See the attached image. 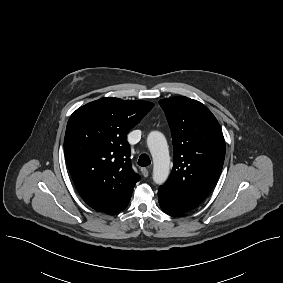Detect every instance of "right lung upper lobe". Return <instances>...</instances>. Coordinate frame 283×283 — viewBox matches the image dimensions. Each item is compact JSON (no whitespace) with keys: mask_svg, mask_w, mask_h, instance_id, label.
<instances>
[{"mask_svg":"<svg viewBox=\"0 0 283 283\" xmlns=\"http://www.w3.org/2000/svg\"><path fill=\"white\" fill-rule=\"evenodd\" d=\"M153 106L141 100L101 98L71 115L65 159L79 194L91 208L115 213L127 207L140 180L131 167L127 133Z\"/></svg>","mask_w":283,"mask_h":283,"instance_id":"obj_1","label":"right lung upper lobe"}]
</instances>
